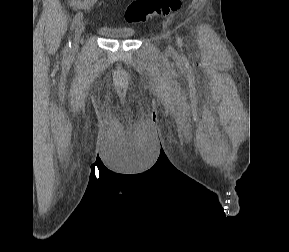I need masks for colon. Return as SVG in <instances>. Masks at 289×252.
Instances as JSON below:
<instances>
[{"label":"colon","mask_w":289,"mask_h":252,"mask_svg":"<svg viewBox=\"0 0 289 252\" xmlns=\"http://www.w3.org/2000/svg\"><path fill=\"white\" fill-rule=\"evenodd\" d=\"M183 0H132L125 11V19L139 23L153 16L170 15L177 12Z\"/></svg>","instance_id":"colon-1"}]
</instances>
